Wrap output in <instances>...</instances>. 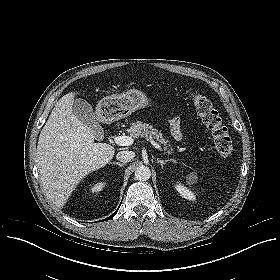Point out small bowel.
<instances>
[{
  "mask_svg": "<svg viewBox=\"0 0 280 280\" xmlns=\"http://www.w3.org/2000/svg\"><path fill=\"white\" fill-rule=\"evenodd\" d=\"M169 129L176 140L181 141L183 139V135L180 130V119L178 117H174L169 121Z\"/></svg>",
  "mask_w": 280,
  "mask_h": 280,
  "instance_id": "c3829d8e",
  "label": "small bowel"
}]
</instances>
